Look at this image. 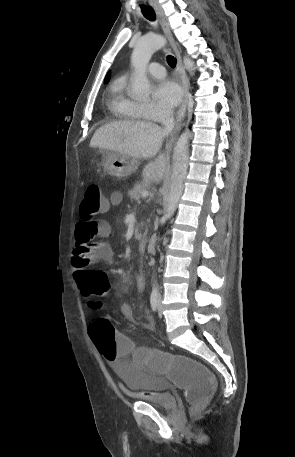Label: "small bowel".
Returning <instances> with one entry per match:
<instances>
[{
  "instance_id": "small-bowel-1",
  "label": "small bowel",
  "mask_w": 295,
  "mask_h": 457,
  "mask_svg": "<svg viewBox=\"0 0 295 457\" xmlns=\"http://www.w3.org/2000/svg\"><path fill=\"white\" fill-rule=\"evenodd\" d=\"M122 199L123 196L120 192H113L110 195L108 205L110 204L112 206H118L121 204ZM110 234L111 225L104 219L80 221L76 225L75 255L72 260V275L82 294H84V291L87 287V271L93 270L91 267L100 262L113 264L115 261L114 253L110 244L104 240H95V238H107L110 236ZM82 247L88 248V252L84 256L86 259V264L82 267H78L75 265V262L79 257L76 255V250ZM136 286L138 290H144L145 282L142 277L138 276L136 278ZM120 311L122 315L127 319H132L134 317L132 306L129 303H123L120 307ZM129 341L132 340L129 338ZM110 361L112 362V360Z\"/></svg>"
}]
</instances>
